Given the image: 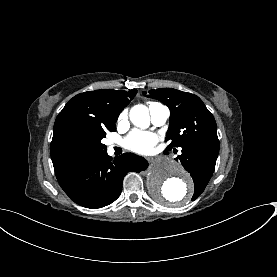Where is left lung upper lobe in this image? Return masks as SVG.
I'll return each mask as SVG.
<instances>
[{
    "label": "left lung upper lobe",
    "mask_w": 277,
    "mask_h": 277,
    "mask_svg": "<svg viewBox=\"0 0 277 277\" xmlns=\"http://www.w3.org/2000/svg\"><path fill=\"white\" fill-rule=\"evenodd\" d=\"M147 97L163 102L170 109V124L166 135V141L170 144L165 150L166 153L172 148L199 140L218 139L215 119L198 96L172 88H162L150 90ZM208 181L209 178L201 181V186L195 190L193 198L203 192Z\"/></svg>",
    "instance_id": "1"
}]
</instances>
